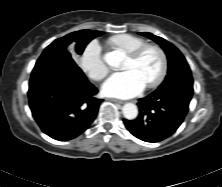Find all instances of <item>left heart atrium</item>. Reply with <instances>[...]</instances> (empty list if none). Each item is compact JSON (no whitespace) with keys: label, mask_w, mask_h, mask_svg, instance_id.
<instances>
[{"label":"left heart atrium","mask_w":222,"mask_h":187,"mask_svg":"<svg viewBox=\"0 0 222 187\" xmlns=\"http://www.w3.org/2000/svg\"><path fill=\"white\" fill-rule=\"evenodd\" d=\"M145 84L133 70L114 73L103 85L102 92L107 96L130 98L138 95Z\"/></svg>","instance_id":"left-heart-atrium-1"}]
</instances>
